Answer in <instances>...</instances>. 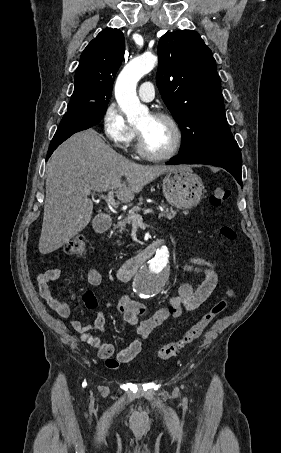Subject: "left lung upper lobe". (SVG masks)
Wrapping results in <instances>:
<instances>
[{"instance_id": "5c2ea615", "label": "left lung upper lobe", "mask_w": 281, "mask_h": 453, "mask_svg": "<svg viewBox=\"0 0 281 453\" xmlns=\"http://www.w3.org/2000/svg\"><path fill=\"white\" fill-rule=\"evenodd\" d=\"M158 56L156 83L182 132L179 154L235 141L216 62L200 35L193 30L166 33L159 41Z\"/></svg>"}]
</instances>
